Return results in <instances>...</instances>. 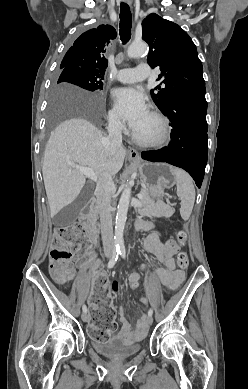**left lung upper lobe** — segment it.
I'll return each mask as SVG.
<instances>
[{
  "mask_svg": "<svg viewBox=\"0 0 248 389\" xmlns=\"http://www.w3.org/2000/svg\"><path fill=\"white\" fill-rule=\"evenodd\" d=\"M142 32L150 49L147 62L161 70V83L151 90L160 110L183 91L205 87L196 46L179 25L152 13L143 20Z\"/></svg>",
  "mask_w": 248,
  "mask_h": 389,
  "instance_id": "obj_1",
  "label": "left lung upper lobe"
}]
</instances>
